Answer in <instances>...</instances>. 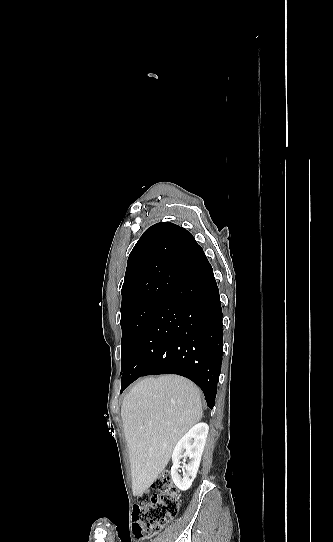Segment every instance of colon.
<instances>
[{
  "instance_id": "colon-1",
  "label": "colon",
  "mask_w": 333,
  "mask_h": 542,
  "mask_svg": "<svg viewBox=\"0 0 333 542\" xmlns=\"http://www.w3.org/2000/svg\"><path fill=\"white\" fill-rule=\"evenodd\" d=\"M154 484L159 494L150 496L144 492L138 497L133 521L134 535L138 539H149L157 534L176 516L180 507V493L170 472L160 474Z\"/></svg>"
}]
</instances>
